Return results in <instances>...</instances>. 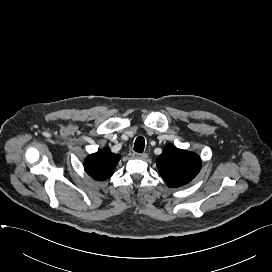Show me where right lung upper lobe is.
Segmentation results:
<instances>
[{"mask_svg":"<svg viewBox=\"0 0 272 272\" xmlns=\"http://www.w3.org/2000/svg\"><path fill=\"white\" fill-rule=\"evenodd\" d=\"M120 156L111 153L108 148L89 155L84 161L86 172L95 180H106L114 173Z\"/></svg>","mask_w":272,"mask_h":272,"instance_id":"obj_1","label":"right lung upper lobe"}]
</instances>
